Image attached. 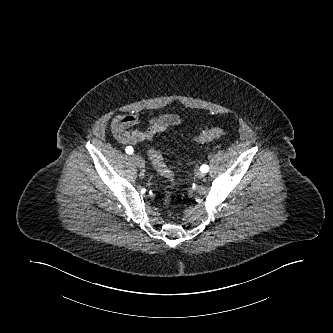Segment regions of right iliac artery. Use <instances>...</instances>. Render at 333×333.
Here are the masks:
<instances>
[{"label": "right iliac artery", "instance_id": "1", "mask_svg": "<svg viewBox=\"0 0 333 333\" xmlns=\"http://www.w3.org/2000/svg\"><path fill=\"white\" fill-rule=\"evenodd\" d=\"M125 151H126L127 154H132L134 152V150L131 146H127Z\"/></svg>", "mask_w": 333, "mask_h": 333}]
</instances>
